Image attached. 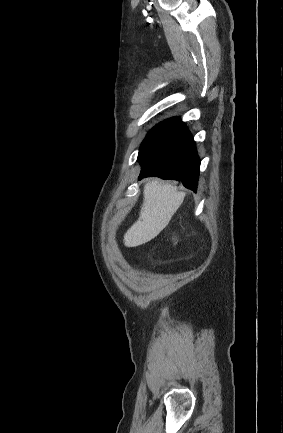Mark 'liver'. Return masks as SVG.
Here are the masks:
<instances>
[{"label":"liver","instance_id":"6515ba94","mask_svg":"<svg viewBox=\"0 0 283 433\" xmlns=\"http://www.w3.org/2000/svg\"><path fill=\"white\" fill-rule=\"evenodd\" d=\"M140 217L124 235L126 247H139L157 237L167 227L174 212L182 204L186 192L158 178L146 182Z\"/></svg>","mask_w":283,"mask_h":433}]
</instances>
